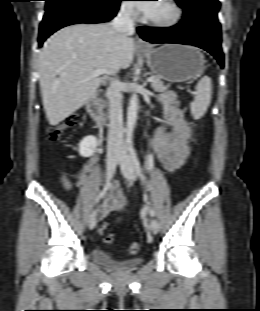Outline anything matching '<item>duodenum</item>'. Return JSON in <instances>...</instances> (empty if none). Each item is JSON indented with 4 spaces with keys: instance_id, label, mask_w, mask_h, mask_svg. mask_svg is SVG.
Returning <instances> with one entry per match:
<instances>
[{
    "instance_id": "duodenum-1",
    "label": "duodenum",
    "mask_w": 260,
    "mask_h": 311,
    "mask_svg": "<svg viewBox=\"0 0 260 311\" xmlns=\"http://www.w3.org/2000/svg\"><path fill=\"white\" fill-rule=\"evenodd\" d=\"M87 112L91 117L99 123H102L106 120V114L103 110L102 104L99 98L92 94L86 102Z\"/></svg>"
}]
</instances>
